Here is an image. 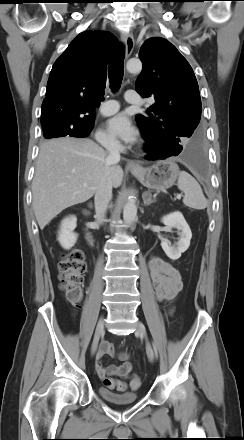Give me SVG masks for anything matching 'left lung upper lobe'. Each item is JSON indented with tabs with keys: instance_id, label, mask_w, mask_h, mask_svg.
Segmentation results:
<instances>
[{
	"instance_id": "obj_1",
	"label": "left lung upper lobe",
	"mask_w": 244,
	"mask_h": 440,
	"mask_svg": "<svg viewBox=\"0 0 244 440\" xmlns=\"http://www.w3.org/2000/svg\"><path fill=\"white\" fill-rule=\"evenodd\" d=\"M139 58L143 69L135 87L143 97H154L149 117L137 115L141 130L158 136L163 143L181 146L184 138H199L202 106L198 83L187 60L163 38L148 39Z\"/></svg>"
}]
</instances>
